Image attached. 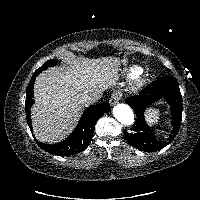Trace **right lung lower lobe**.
Masks as SVG:
<instances>
[{
	"label": "right lung lower lobe",
	"instance_id": "98d812e1",
	"mask_svg": "<svg viewBox=\"0 0 200 200\" xmlns=\"http://www.w3.org/2000/svg\"><path fill=\"white\" fill-rule=\"evenodd\" d=\"M35 77L32 76L31 81L28 84L27 91H26V100H25V110H26V119L27 123L32 130L31 126V117H30V108L34 103L33 100V86L35 82ZM110 106L106 103L98 104L90 106L84 112L80 122L78 123L75 130L72 134L66 138L64 141L58 144H44L37 142V144L42 148L44 151L60 155V156H70L77 154L87 148L89 145L97 120L107 111H109Z\"/></svg>",
	"mask_w": 200,
	"mask_h": 200
}]
</instances>
